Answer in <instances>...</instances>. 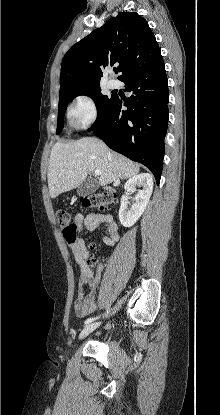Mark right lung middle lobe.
<instances>
[{
    "label": "right lung middle lobe",
    "instance_id": "dd1d6c3e",
    "mask_svg": "<svg viewBox=\"0 0 220 415\" xmlns=\"http://www.w3.org/2000/svg\"><path fill=\"white\" fill-rule=\"evenodd\" d=\"M79 95H86V96L91 97L94 100L96 107H97V112H98L97 120L93 124V126L90 128V130L96 128L103 122L114 99V95H111L109 97L102 95L99 84L77 86V87L67 90L64 93L59 94V110H58L56 134H59L63 129L64 113L66 111L69 101L72 98L79 96Z\"/></svg>",
    "mask_w": 220,
    "mask_h": 415
}]
</instances>
